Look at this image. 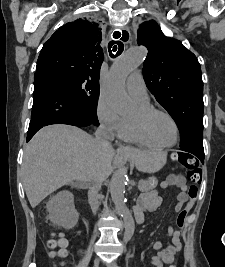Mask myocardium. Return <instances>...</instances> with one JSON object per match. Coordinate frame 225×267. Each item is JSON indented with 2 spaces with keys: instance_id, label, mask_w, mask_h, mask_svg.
<instances>
[{
  "instance_id": "f54148a6",
  "label": "myocardium",
  "mask_w": 225,
  "mask_h": 267,
  "mask_svg": "<svg viewBox=\"0 0 225 267\" xmlns=\"http://www.w3.org/2000/svg\"><path fill=\"white\" fill-rule=\"evenodd\" d=\"M157 114H161V115L168 117L172 121V123L175 127L176 137H175L174 142H172L171 144H159L154 140V138L151 134L149 123H150V120L152 119V117L154 115H157ZM136 118H137L144 134L146 135V137L153 144L158 146L159 148H162V149L171 148L178 143V141L180 139V128H179V125H178L176 119L169 112L162 110V109H159V108L150 107V108H147L144 110H139Z\"/></svg>"
}]
</instances>
